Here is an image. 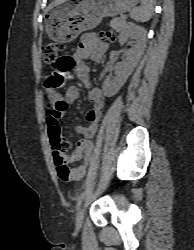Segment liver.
<instances>
[{"label":"liver","instance_id":"6515ba94","mask_svg":"<svg viewBox=\"0 0 194 250\" xmlns=\"http://www.w3.org/2000/svg\"><path fill=\"white\" fill-rule=\"evenodd\" d=\"M66 0H54L49 7L53 6V5H56V4H60V3H63L65 2Z\"/></svg>","mask_w":194,"mask_h":250}]
</instances>
